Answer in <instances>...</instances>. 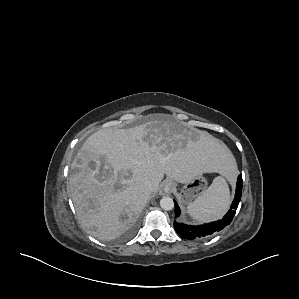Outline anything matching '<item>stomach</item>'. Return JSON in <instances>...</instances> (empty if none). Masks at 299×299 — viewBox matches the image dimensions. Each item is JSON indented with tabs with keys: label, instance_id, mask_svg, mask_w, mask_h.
Listing matches in <instances>:
<instances>
[{
	"label": "stomach",
	"instance_id": "0dacf381",
	"mask_svg": "<svg viewBox=\"0 0 299 299\" xmlns=\"http://www.w3.org/2000/svg\"><path fill=\"white\" fill-rule=\"evenodd\" d=\"M169 181L172 182V180ZM172 184L175 186V183L172 182ZM206 185L207 181L203 174L192 178L189 182L185 183L181 189V193L179 195L181 202L183 204H190L205 191Z\"/></svg>",
	"mask_w": 299,
	"mask_h": 299
}]
</instances>
